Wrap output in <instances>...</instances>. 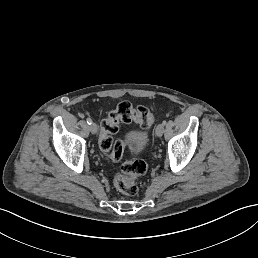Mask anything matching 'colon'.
<instances>
[{"mask_svg":"<svg viewBox=\"0 0 258 258\" xmlns=\"http://www.w3.org/2000/svg\"><path fill=\"white\" fill-rule=\"evenodd\" d=\"M156 115L145 106L134 107L130 102L123 101L109 113L100 125V149L112 160L118 161L123 153V144L115 140L120 123H136L141 128H149ZM147 165L141 159L124 163L114 178V184L121 193L133 196L139 191L137 179L146 172Z\"/></svg>","mask_w":258,"mask_h":258,"instance_id":"1","label":"colon"}]
</instances>
